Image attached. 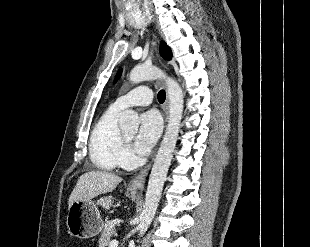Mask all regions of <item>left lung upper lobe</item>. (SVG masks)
Wrapping results in <instances>:
<instances>
[{"label": "left lung upper lobe", "mask_w": 310, "mask_h": 247, "mask_svg": "<svg viewBox=\"0 0 310 247\" xmlns=\"http://www.w3.org/2000/svg\"><path fill=\"white\" fill-rule=\"evenodd\" d=\"M160 54L166 60H170L172 58L171 49L166 45L165 42H162L160 45ZM121 73L122 70L118 71L115 80H117L120 77Z\"/></svg>", "instance_id": "1"}]
</instances>
